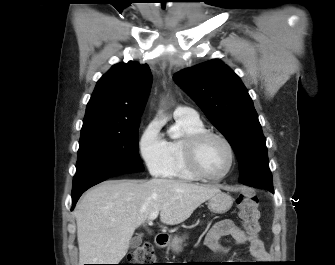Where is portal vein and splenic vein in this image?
<instances>
[{
    "mask_svg": "<svg viewBox=\"0 0 335 265\" xmlns=\"http://www.w3.org/2000/svg\"><path fill=\"white\" fill-rule=\"evenodd\" d=\"M158 215H159V211L152 212L148 217V222L151 224L152 221L155 220Z\"/></svg>",
    "mask_w": 335,
    "mask_h": 265,
    "instance_id": "obj_1",
    "label": "portal vein and splenic vein"
}]
</instances>
